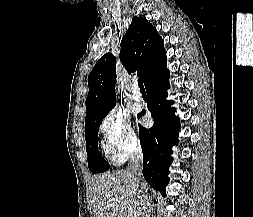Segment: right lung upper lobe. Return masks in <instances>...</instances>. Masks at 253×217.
I'll return each mask as SVG.
<instances>
[{
  "mask_svg": "<svg viewBox=\"0 0 253 217\" xmlns=\"http://www.w3.org/2000/svg\"><path fill=\"white\" fill-rule=\"evenodd\" d=\"M164 41L145 18L135 17L121 41L120 61L128 73L137 70L144 84L166 68ZM116 62L111 53L104 54L88 76L85 122L111 110L116 104Z\"/></svg>",
  "mask_w": 253,
  "mask_h": 217,
  "instance_id": "obj_1",
  "label": "right lung upper lobe"
}]
</instances>
